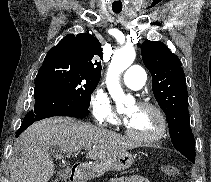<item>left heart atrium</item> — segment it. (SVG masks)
I'll return each instance as SVG.
<instances>
[{"instance_id":"left-heart-atrium-1","label":"left heart atrium","mask_w":211,"mask_h":182,"mask_svg":"<svg viewBox=\"0 0 211 182\" xmlns=\"http://www.w3.org/2000/svg\"><path fill=\"white\" fill-rule=\"evenodd\" d=\"M125 120H126V122H128V120H129V117H126V119H125Z\"/></svg>"}]
</instances>
